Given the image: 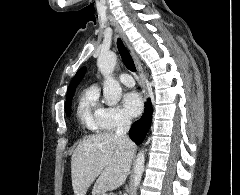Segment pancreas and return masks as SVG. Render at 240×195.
I'll return each mask as SVG.
<instances>
[{"mask_svg":"<svg viewBox=\"0 0 240 195\" xmlns=\"http://www.w3.org/2000/svg\"><path fill=\"white\" fill-rule=\"evenodd\" d=\"M95 193L97 191V193H102L101 189H94Z\"/></svg>","mask_w":240,"mask_h":195,"instance_id":"pancreas-1","label":"pancreas"}]
</instances>
